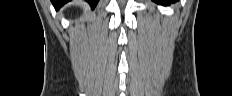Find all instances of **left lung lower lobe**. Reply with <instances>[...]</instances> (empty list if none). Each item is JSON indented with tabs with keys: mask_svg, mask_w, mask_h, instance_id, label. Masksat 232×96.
Wrapping results in <instances>:
<instances>
[{
	"mask_svg": "<svg viewBox=\"0 0 232 96\" xmlns=\"http://www.w3.org/2000/svg\"><path fill=\"white\" fill-rule=\"evenodd\" d=\"M154 1L158 4L168 5L169 3L175 2L176 0H154Z\"/></svg>",
	"mask_w": 232,
	"mask_h": 96,
	"instance_id": "1",
	"label": "left lung lower lobe"
}]
</instances>
